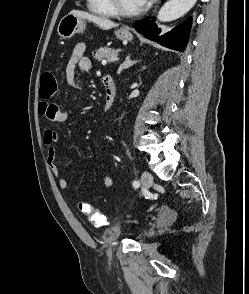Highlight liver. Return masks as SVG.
<instances>
[{"mask_svg": "<svg viewBox=\"0 0 249 294\" xmlns=\"http://www.w3.org/2000/svg\"><path fill=\"white\" fill-rule=\"evenodd\" d=\"M70 13L75 14L78 17H81L83 19H86L88 21L95 23L103 30H109V29H112V28H115L118 26V24L114 23L113 21H111L107 18L92 15V14H89L84 11L73 10Z\"/></svg>", "mask_w": 249, "mask_h": 294, "instance_id": "obj_1", "label": "liver"}]
</instances>
